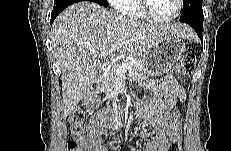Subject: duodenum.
I'll use <instances>...</instances> for the list:
<instances>
[{"mask_svg":"<svg viewBox=\"0 0 231 151\" xmlns=\"http://www.w3.org/2000/svg\"><path fill=\"white\" fill-rule=\"evenodd\" d=\"M89 92L92 94V95H95L99 92L100 90V81L99 80H96L94 82H92L90 85H89V88H88ZM121 120H122V115L120 114L119 117H118V123H121Z\"/></svg>","mask_w":231,"mask_h":151,"instance_id":"1","label":"duodenum"}]
</instances>
